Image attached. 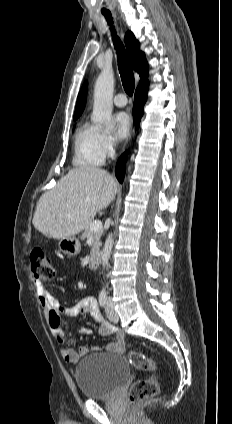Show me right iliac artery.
<instances>
[{
  "label": "right iliac artery",
  "instance_id": "obj_1",
  "mask_svg": "<svg viewBox=\"0 0 232 424\" xmlns=\"http://www.w3.org/2000/svg\"><path fill=\"white\" fill-rule=\"evenodd\" d=\"M98 299H99L100 306L104 307L105 304H106V300H107L106 293H100Z\"/></svg>",
  "mask_w": 232,
  "mask_h": 424
}]
</instances>
